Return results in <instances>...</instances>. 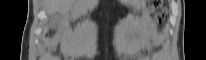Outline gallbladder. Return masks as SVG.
Wrapping results in <instances>:
<instances>
[{"label": "gallbladder", "instance_id": "bac80fb5", "mask_svg": "<svg viewBox=\"0 0 206 60\" xmlns=\"http://www.w3.org/2000/svg\"><path fill=\"white\" fill-rule=\"evenodd\" d=\"M61 14L60 13H56L54 15L51 16V22L53 24H57L58 21L60 20Z\"/></svg>", "mask_w": 206, "mask_h": 60}]
</instances>
